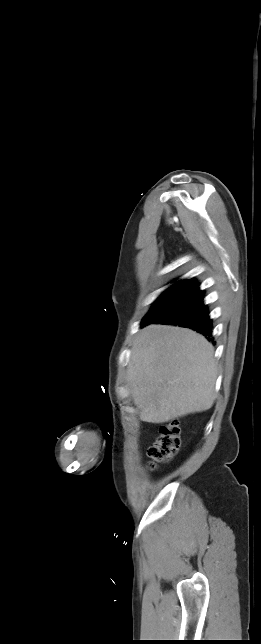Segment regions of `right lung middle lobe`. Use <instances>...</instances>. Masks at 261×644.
Returning <instances> with one entry per match:
<instances>
[{
	"label": "right lung middle lobe",
	"mask_w": 261,
	"mask_h": 644,
	"mask_svg": "<svg viewBox=\"0 0 261 644\" xmlns=\"http://www.w3.org/2000/svg\"><path fill=\"white\" fill-rule=\"evenodd\" d=\"M198 287L199 285L195 283H176L154 302L142 323L157 320L188 303L201 292Z\"/></svg>",
	"instance_id": "right-lung-middle-lobe-1"
}]
</instances>
